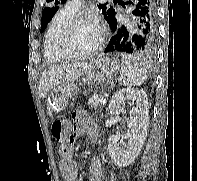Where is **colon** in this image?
I'll use <instances>...</instances> for the list:
<instances>
[{
	"instance_id": "colon-1",
	"label": "colon",
	"mask_w": 197,
	"mask_h": 181,
	"mask_svg": "<svg viewBox=\"0 0 197 181\" xmlns=\"http://www.w3.org/2000/svg\"><path fill=\"white\" fill-rule=\"evenodd\" d=\"M64 126H65V121L60 120V119H57V120L53 121L52 124H51V131H52L53 135L58 140H64V138L66 136ZM67 141H65V142H67Z\"/></svg>"
}]
</instances>
